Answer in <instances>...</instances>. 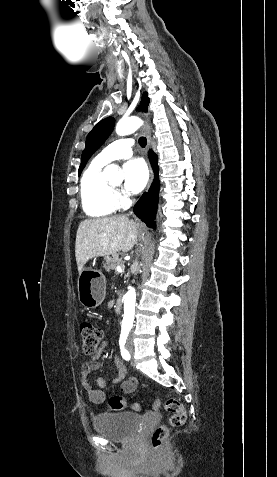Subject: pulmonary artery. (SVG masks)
I'll return each instance as SVG.
<instances>
[{
    "label": "pulmonary artery",
    "instance_id": "pulmonary-artery-1",
    "mask_svg": "<svg viewBox=\"0 0 277 477\" xmlns=\"http://www.w3.org/2000/svg\"><path fill=\"white\" fill-rule=\"evenodd\" d=\"M133 140L130 138L118 139L105 147L96 157L103 163H109L116 159L128 158L132 155Z\"/></svg>",
    "mask_w": 277,
    "mask_h": 477
}]
</instances>
